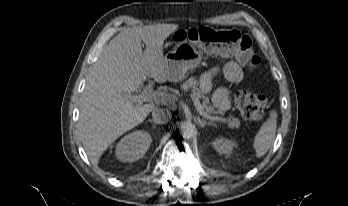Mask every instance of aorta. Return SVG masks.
<instances>
[{
  "label": "aorta",
  "instance_id": "obj_1",
  "mask_svg": "<svg viewBox=\"0 0 348 206\" xmlns=\"http://www.w3.org/2000/svg\"><path fill=\"white\" fill-rule=\"evenodd\" d=\"M179 132L183 138L189 139L194 134V126L188 121L181 122L179 125Z\"/></svg>",
  "mask_w": 348,
  "mask_h": 206
}]
</instances>
